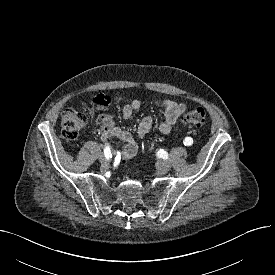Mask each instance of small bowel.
I'll return each instance as SVG.
<instances>
[{
  "label": "small bowel",
  "instance_id": "obj_1",
  "mask_svg": "<svg viewBox=\"0 0 275 275\" xmlns=\"http://www.w3.org/2000/svg\"><path fill=\"white\" fill-rule=\"evenodd\" d=\"M84 104V102H82ZM141 106V102L138 99L132 100L129 104L125 105L122 109V117L129 119L133 113ZM164 117L159 125V130L166 135L171 134L179 124V120L182 114L186 110L184 103L175 102L172 100H165L162 103ZM100 124V136L103 141L108 140L111 137H118L124 141L125 147L121 152V156L124 160H129L134 157L137 151V145L133 140L131 134L118 127L114 121L113 116L106 115L101 116L98 119ZM153 119L150 116L144 117L138 126V136L144 137L152 128Z\"/></svg>",
  "mask_w": 275,
  "mask_h": 275
}]
</instances>
